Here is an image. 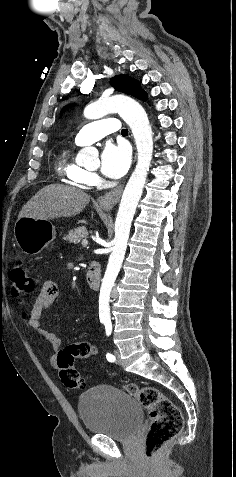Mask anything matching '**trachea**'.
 I'll list each match as a JSON object with an SVG mask.
<instances>
[{"label":"trachea","instance_id":"trachea-1","mask_svg":"<svg viewBox=\"0 0 236 477\" xmlns=\"http://www.w3.org/2000/svg\"><path fill=\"white\" fill-rule=\"evenodd\" d=\"M121 133H122V134H128V130H127V129H123V130L121 131Z\"/></svg>","mask_w":236,"mask_h":477}]
</instances>
